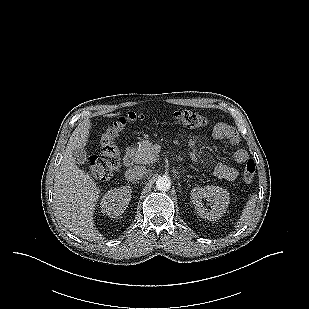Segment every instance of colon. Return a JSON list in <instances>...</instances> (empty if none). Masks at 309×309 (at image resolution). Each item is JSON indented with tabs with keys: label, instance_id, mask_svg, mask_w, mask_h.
I'll list each match as a JSON object with an SVG mask.
<instances>
[{
	"label": "colon",
	"instance_id": "1",
	"mask_svg": "<svg viewBox=\"0 0 309 309\" xmlns=\"http://www.w3.org/2000/svg\"><path fill=\"white\" fill-rule=\"evenodd\" d=\"M172 118L177 123L190 128H203L208 125L207 118L194 110L176 111L172 114ZM143 121V115L130 113L121 117L105 130L100 140L101 156H90L87 159V165L92 175L103 180L111 177L121 164L120 148L116 140L127 130L138 126ZM255 169L254 161L248 160L242 173L243 182L248 184L254 180Z\"/></svg>",
	"mask_w": 309,
	"mask_h": 309
}]
</instances>
